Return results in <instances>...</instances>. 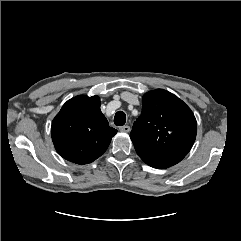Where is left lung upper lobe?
Masks as SVG:
<instances>
[{"label":"left lung upper lobe","instance_id":"left-lung-upper-lobe-1","mask_svg":"<svg viewBox=\"0 0 241 241\" xmlns=\"http://www.w3.org/2000/svg\"><path fill=\"white\" fill-rule=\"evenodd\" d=\"M196 133L191 109L174 94L157 89L144 94L142 113L134 122L130 137L134 147L186 156Z\"/></svg>","mask_w":241,"mask_h":241}]
</instances>
